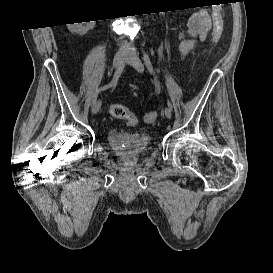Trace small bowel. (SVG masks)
I'll return each mask as SVG.
<instances>
[{"instance_id": "c3829d8e", "label": "small bowel", "mask_w": 273, "mask_h": 273, "mask_svg": "<svg viewBox=\"0 0 273 273\" xmlns=\"http://www.w3.org/2000/svg\"><path fill=\"white\" fill-rule=\"evenodd\" d=\"M218 16L211 18L204 13H196L189 17L187 26L177 34L182 55H187L198 41H203L211 31Z\"/></svg>"}]
</instances>
